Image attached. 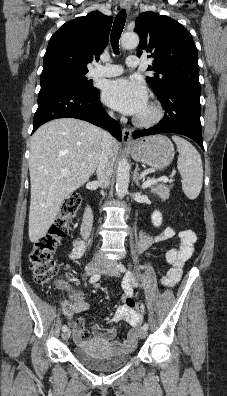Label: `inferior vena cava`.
I'll use <instances>...</instances> for the list:
<instances>
[{
	"instance_id": "obj_1",
	"label": "inferior vena cava",
	"mask_w": 227,
	"mask_h": 396,
	"mask_svg": "<svg viewBox=\"0 0 227 396\" xmlns=\"http://www.w3.org/2000/svg\"><path fill=\"white\" fill-rule=\"evenodd\" d=\"M109 115L113 117V112H110ZM111 140L112 136L108 132H103L101 153L99 155L97 165V184L101 188H106L109 185L110 178L113 172L115 156L111 149Z\"/></svg>"
}]
</instances>
